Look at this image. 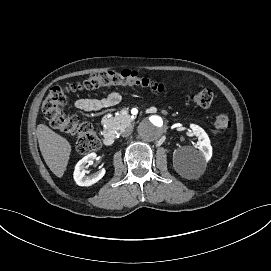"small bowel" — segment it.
I'll return each mask as SVG.
<instances>
[{"label":"small bowel","instance_id":"c3829d8e","mask_svg":"<svg viewBox=\"0 0 271 271\" xmlns=\"http://www.w3.org/2000/svg\"><path fill=\"white\" fill-rule=\"evenodd\" d=\"M120 102V94L116 91H109L102 98H80L76 100L75 107L86 112H94L110 108Z\"/></svg>","mask_w":271,"mask_h":271}]
</instances>
